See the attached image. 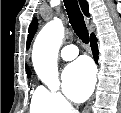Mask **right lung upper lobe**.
Wrapping results in <instances>:
<instances>
[{
  "label": "right lung upper lobe",
  "mask_w": 121,
  "mask_h": 113,
  "mask_svg": "<svg viewBox=\"0 0 121 113\" xmlns=\"http://www.w3.org/2000/svg\"><path fill=\"white\" fill-rule=\"evenodd\" d=\"M79 2H80V6H81V9L84 12V14L88 15V3H87V1L86 0H79ZM36 29H37V20L34 19L32 21V23L30 24L29 31H28L29 35H28L27 48H29L30 42H31V40H32V38H33V36L36 32ZM26 72H27L28 77H30L31 76L30 71L27 69Z\"/></svg>",
  "instance_id": "cb5924a9"
}]
</instances>
